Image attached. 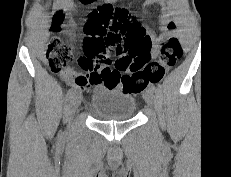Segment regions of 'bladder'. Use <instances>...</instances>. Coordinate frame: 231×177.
<instances>
[{"mask_svg": "<svg viewBox=\"0 0 231 177\" xmlns=\"http://www.w3.org/2000/svg\"><path fill=\"white\" fill-rule=\"evenodd\" d=\"M91 109L101 120L125 121L134 117L136 100L128 92L98 86L91 95Z\"/></svg>", "mask_w": 231, "mask_h": 177, "instance_id": "obj_1", "label": "bladder"}]
</instances>
